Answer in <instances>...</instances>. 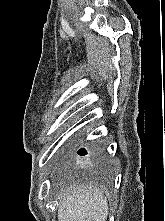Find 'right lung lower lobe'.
Masks as SVG:
<instances>
[{"mask_svg":"<svg viewBox=\"0 0 165 221\" xmlns=\"http://www.w3.org/2000/svg\"><path fill=\"white\" fill-rule=\"evenodd\" d=\"M78 154H79V155H86L87 152L85 151V149H80V150L78 151ZM99 162H100V160L98 159L93 165H96V164L99 163Z\"/></svg>","mask_w":165,"mask_h":221,"instance_id":"right-lung-lower-lobe-1","label":"right lung lower lobe"}]
</instances>
